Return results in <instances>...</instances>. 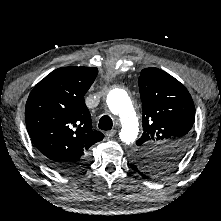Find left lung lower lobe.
<instances>
[{"label": "left lung lower lobe", "instance_id": "obj_1", "mask_svg": "<svg viewBox=\"0 0 221 221\" xmlns=\"http://www.w3.org/2000/svg\"><path fill=\"white\" fill-rule=\"evenodd\" d=\"M131 168L140 174L143 178H147V171L144 170V168L139 167L137 164H131Z\"/></svg>", "mask_w": 221, "mask_h": 221}]
</instances>
